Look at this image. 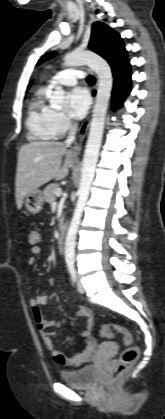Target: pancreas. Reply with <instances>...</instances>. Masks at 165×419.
Wrapping results in <instances>:
<instances>
[{
  "label": "pancreas",
  "mask_w": 165,
  "mask_h": 419,
  "mask_svg": "<svg viewBox=\"0 0 165 419\" xmlns=\"http://www.w3.org/2000/svg\"><path fill=\"white\" fill-rule=\"evenodd\" d=\"M57 189H60V187L56 183H51L45 187L43 194H44V200L47 203L52 204L56 200L55 191ZM60 226L61 227L63 226V218L60 220Z\"/></svg>",
  "instance_id": "cf45deb5"
}]
</instances>
